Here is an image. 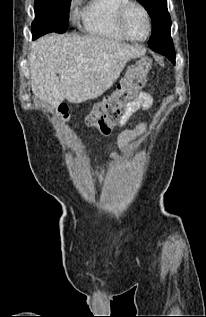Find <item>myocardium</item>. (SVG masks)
<instances>
[{"instance_id":"f54148a6","label":"myocardium","mask_w":206,"mask_h":317,"mask_svg":"<svg viewBox=\"0 0 206 317\" xmlns=\"http://www.w3.org/2000/svg\"><path fill=\"white\" fill-rule=\"evenodd\" d=\"M132 7H137L139 8L145 18H146V22H147V33L145 35V37L141 38V39H137V38H134L132 37L128 31L126 30V27H125V19H126V16L129 12V10L132 8ZM116 26H117V29L118 31L128 40H131V41H134V42H144L146 41L149 37H150V34H151V31H152V21H151V16H150V13L149 11L147 10V8L142 4L140 3L139 1H135V0H127V2L125 4H123L118 12H117V15H116Z\"/></svg>"}]
</instances>
